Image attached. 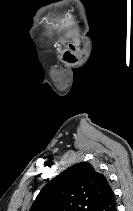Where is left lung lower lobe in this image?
Returning <instances> with one entry per match:
<instances>
[{
  "instance_id": "left-lung-lower-lobe-1",
  "label": "left lung lower lobe",
  "mask_w": 133,
  "mask_h": 211,
  "mask_svg": "<svg viewBox=\"0 0 133 211\" xmlns=\"http://www.w3.org/2000/svg\"><path fill=\"white\" fill-rule=\"evenodd\" d=\"M93 211H116V201L113 191Z\"/></svg>"
}]
</instances>
